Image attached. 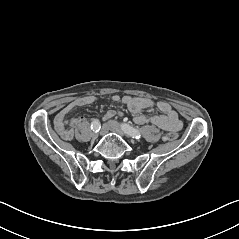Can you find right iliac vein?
<instances>
[{
  "mask_svg": "<svg viewBox=\"0 0 239 239\" xmlns=\"http://www.w3.org/2000/svg\"><path fill=\"white\" fill-rule=\"evenodd\" d=\"M107 132H108V126H107V124H105V125H103V127H102V129H101V131H100V135L101 136H104V135H106L107 134Z\"/></svg>",
  "mask_w": 239,
  "mask_h": 239,
  "instance_id": "right-iliac-vein-1",
  "label": "right iliac vein"
}]
</instances>
